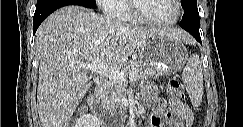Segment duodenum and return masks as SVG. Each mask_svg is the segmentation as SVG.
Masks as SVG:
<instances>
[{"mask_svg":"<svg viewBox=\"0 0 243 127\" xmlns=\"http://www.w3.org/2000/svg\"><path fill=\"white\" fill-rule=\"evenodd\" d=\"M104 88H105V80L102 77L97 78L95 89L87 98L90 112L98 117L101 115L100 95L101 92L104 90Z\"/></svg>","mask_w":243,"mask_h":127,"instance_id":"obj_1","label":"duodenum"}]
</instances>
